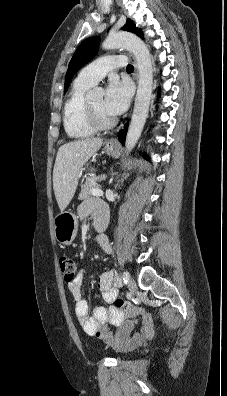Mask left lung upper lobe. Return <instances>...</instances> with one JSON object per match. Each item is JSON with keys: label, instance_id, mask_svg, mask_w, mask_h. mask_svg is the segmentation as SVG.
Returning a JSON list of instances; mask_svg holds the SVG:
<instances>
[{"label": "left lung upper lobe", "instance_id": "5c2ea615", "mask_svg": "<svg viewBox=\"0 0 227 396\" xmlns=\"http://www.w3.org/2000/svg\"><path fill=\"white\" fill-rule=\"evenodd\" d=\"M123 30L129 31L136 33L138 36L143 38V33L139 28L135 26L133 21L131 19H127L126 24L122 28ZM100 43V37L95 36L88 38L84 40L79 47L77 48L74 56L72 57L68 70L66 73V78H65V91L64 93L68 90V87L70 85V82L72 80V77L74 74L82 67L84 66L89 60H91L94 55L97 53L98 46Z\"/></svg>", "mask_w": 227, "mask_h": 396}]
</instances>
